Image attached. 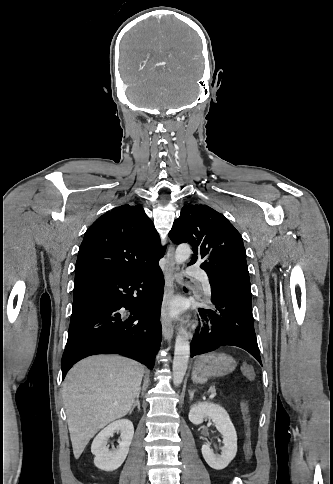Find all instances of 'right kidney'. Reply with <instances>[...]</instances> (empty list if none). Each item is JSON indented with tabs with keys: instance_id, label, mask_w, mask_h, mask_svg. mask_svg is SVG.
<instances>
[{
	"instance_id": "right-kidney-1",
	"label": "right kidney",
	"mask_w": 333,
	"mask_h": 484,
	"mask_svg": "<svg viewBox=\"0 0 333 484\" xmlns=\"http://www.w3.org/2000/svg\"><path fill=\"white\" fill-rule=\"evenodd\" d=\"M115 432H120L119 446L117 449L109 450L107 442ZM133 435L134 427L128 419L115 421L103 429L91 445V452L95 456V466L106 472L118 469L127 457Z\"/></svg>"
}]
</instances>
